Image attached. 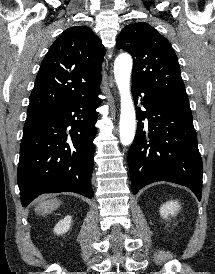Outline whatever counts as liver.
Instances as JSON below:
<instances>
[{
  "instance_id": "6515ba94",
  "label": "liver",
  "mask_w": 215,
  "mask_h": 274,
  "mask_svg": "<svg viewBox=\"0 0 215 274\" xmlns=\"http://www.w3.org/2000/svg\"><path fill=\"white\" fill-rule=\"evenodd\" d=\"M59 205H60V201L57 199L40 201L39 204L36 206L35 211L37 213H42L43 215H45L56 210L59 207Z\"/></svg>"
}]
</instances>
